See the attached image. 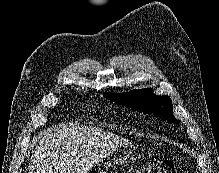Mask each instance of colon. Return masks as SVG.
Masks as SVG:
<instances>
[{"label": "colon", "instance_id": "1", "mask_svg": "<svg viewBox=\"0 0 219 173\" xmlns=\"http://www.w3.org/2000/svg\"><path fill=\"white\" fill-rule=\"evenodd\" d=\"M129 173H181L176 167L173 160L170 159H158L151 160L143 166L131 170Z\"/></svg>", "mask_w": 219, "mask_h": 173}]
</instances>
